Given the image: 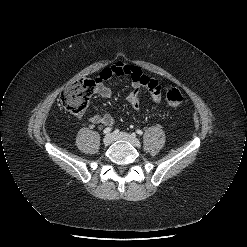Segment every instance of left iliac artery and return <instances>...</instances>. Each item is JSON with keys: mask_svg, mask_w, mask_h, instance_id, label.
<instances>
[{"mask_svg": "<svg viewBox=\"0 0 247 247\" xmlns=\"http://www.w3.org/2000/svg\"><path fill=\"white\" fill-rule=\"evenodd\" d=\"M136 133L139 134V135L143 134V132L141 130H137Z\"/></svg>", "mask_w": 247, "mask_h": 247, "instance_id": "left-iliac-artery-1", "label": "left iliac artery"}]
</instances>
